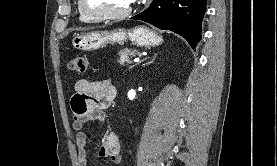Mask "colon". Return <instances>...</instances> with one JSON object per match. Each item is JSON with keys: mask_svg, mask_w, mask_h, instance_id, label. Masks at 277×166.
<instances>
[{"mask_svg": "<svg viewBox=\"0 0 277 166\" xmlns=\"http://www.w3.org/2000/svg\"><path fill=\"white\" fill-rule=\"evenodd\" d=\"M68 68L74 73L83 74L87 69V60L83 55H76L69 61Z\"/></svg>", "mask_w": 277, "mask_h": 166, "instance_id": "1", "label": "colon"}]
</instances>
